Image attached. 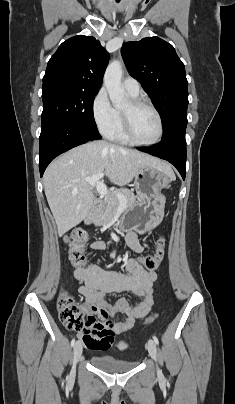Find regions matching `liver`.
I'll list each match as a JSON object with an SVG mask.
<instances>
[{
	"label": "liver",
	"instance_id": "obj_1",
	"mask_svg": "<svg viewBox=\"0 0 235 404\" xmlns=\"http://www.w3.org/2000/svg\"><path fill=\"white\" fill-rule=\"evenodd\" d=\"M144 166L174 177L170 165L160 159L103 140L77 146L55 159L44 173L43 186L58 234L77 226L91 210L94 195L85 178L104 173L111 183L123 186Z\"/></svg>",
	"mask_w": 235,
	"mask_h": 404
}]
</instances>
